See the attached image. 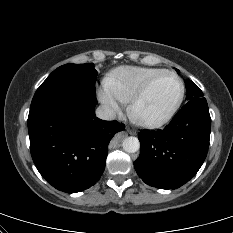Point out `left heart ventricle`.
<instances>
[{
	"label": "left heart ventricle",
	"instance_id": "1",
	"mask_svg": "<svg viewBox=\"0 0 233 233\" xmlns=\"http://www.w3.org/2000/svg\"><path fill=\"white\" fill-rule=\"evenodd\" d=\"M179 92L180 86L175 77L171 75L162 76L136 106V116L142 120L160 118L175 103Z\"/></svg>",
	"mask_w": 233,
	"mask_h": 233
}]
</instances>
